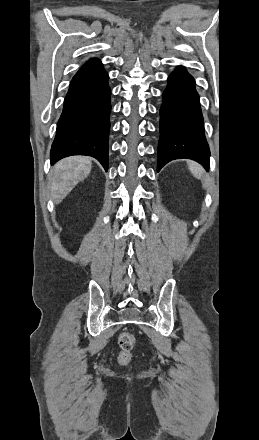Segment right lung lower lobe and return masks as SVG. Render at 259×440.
<instances>
[{
	"label": "right lung lower lobe",
	"mask_w": 259,
	"mask_h": 440,
	"mask_svg": "<svg viewBox=\"0 0 259 440\" xmlns=\"http://www.w3.org/2000/svg\"><path fill=\"white\" fill-rule=\"evenodd\" d=\"M108 79L97 59L87 61L72 78L50 152L52 165L67 156L88 155L108 170Z\"/></svg>",
	"instance_id": "98d812e1"
}]
</instances>
